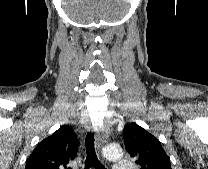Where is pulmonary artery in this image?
Masks as SVG:
<instances>
[{
    "mask_svg": "<svg viewBox=\"0 0 208 169\" xmlns=\"http://www.w3.org/2000/svg\"><path fill=\"white\" fill-rule=\"evenodd\" d=\"M113 169H133V164L131 160L118 159L113 165Z\"/></svg>",
    "mask_w": 208,
    "mask_h": 169,
    "instance_id": "obj_1",
    "label": "pulmonary artery"
}]
</instances>
